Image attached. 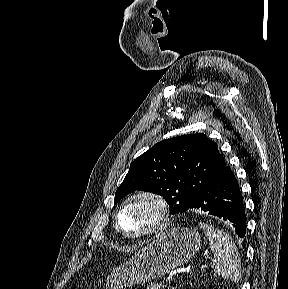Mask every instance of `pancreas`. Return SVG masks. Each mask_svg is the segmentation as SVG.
Masks as SVG:
<instances>
[{
  "instance_id": "1",
  "label": "pancreas",
  "mask_w": 288,
  "mask_h": 289,
  "mask_svg": "<svg viewBox=\"0 0 288 289\" xmlns=\"http://www.w3.org/2000/svg\"><path fill=\"white\" fill-rule=\"evenodd\" d=\"M162 287H163L162 284L152 283L149 286H147L146 289H161Z\"/></svg>"
}]
</instances>
